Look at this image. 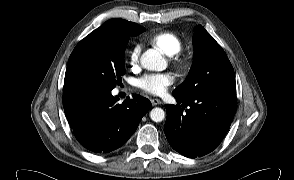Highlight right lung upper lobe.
I'll list each match as a JSON object with an SVG mask.
<instances>
[{"mask_svg":"<svg viewBox=\"0 0 294 180\" xmlns=\"http://www.w3.org/2000/svg\"><path fill=\"white\" fill-rule=\"evenodd\" d=\"M145 31V28L136 23L124 19H111L106 21L99 28L91 32V35L101 33H124L129 35H138Z\"/></svg>","mask_w":294,"mask_h":180,"instance_id":"obj_1","label":"right lung upper lobe"}]
</instances>
